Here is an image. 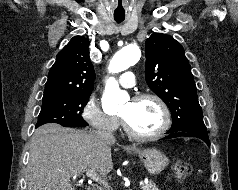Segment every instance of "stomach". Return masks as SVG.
I'll return each instance as SVG.
<instances>
[{
    "label": "stomach",
    "mask_w": 238,
    "mask_h": 190,
    "mask_svg": "<svg viewBox=\"0 0 238 190\" xmlns=\"http://www.w3.org/2000/svg\"><path fill=\"white\" fill-rule=\"evenodd\" d=\"M134 153L139 156L146 170L151 175L161 173L169 164V159L155 148L144 150L135 149Z\"/></svg>",
    "instance_id": "obj_1"
}]
</instances>
